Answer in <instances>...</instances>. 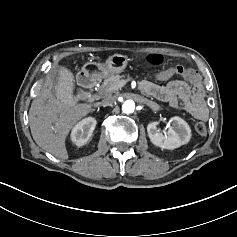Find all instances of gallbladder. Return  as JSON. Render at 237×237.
Masks as SVG:
<instances>
[{
    "label": "gallbladder",
    "instance_id": "gallbladder-1",
    "mask_svg": "<svg viewBox=\"0 0 237 237\" xmlns=\"http://www.w3.org/2000/svg\"><path fill=\"white\" fill-rule=\"evenodd\" d=\"M59 84L56 86V93L59 95V101L64 105H71L73 103L72 90L74 89V75L70 68H62L58 71Z\"/></svg>",
    "mask_w": 237,
    "mask_h": 237
}]
</instances>
